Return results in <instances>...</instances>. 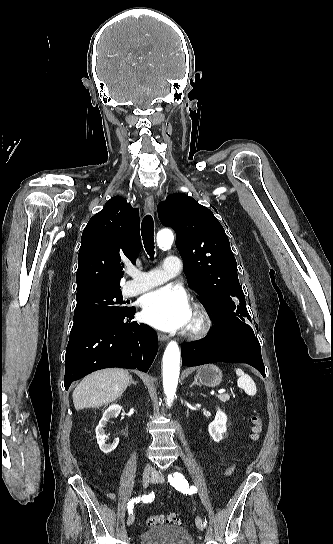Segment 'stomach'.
I'll list each match as a JSON object with an SVG mask.
<instances>
[{"mask_svg": "<svg viewBox=\"0 0 333 544\" xmlns=\"http://www.w3.org/2000/svg\"><path fill=\"white\" fill-rule=\"evenodd\" d=\"M196 378L207 387H215L222 381V372L214 364H205L198 368Z\"/></svg>", "mask_w": 333, "mask_h": 544, "instance_id": "1", "label": "stomach"}]
</instances>
